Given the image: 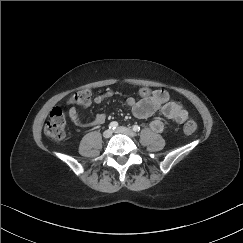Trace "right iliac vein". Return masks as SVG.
I'll return each instance as SVG.
<instances>
[{
	"label": "right iliac vein",
	"mask_w": 243,
	"mask_h": 243,
	"mask_svg": "<svg viewBox=\"0 0 243 243\" xmlns=\"http://www.w3.org/2000/svg\"><path fill=\"white\" fill-rule=\"evenodd\" d=\"M111 135H112V130L110 129L105 130L103 133L104 138H109L111 137Z\"/></svg>",
	"instance_id": "obj_1"
}]
</instances>
